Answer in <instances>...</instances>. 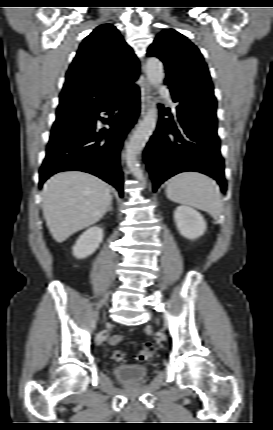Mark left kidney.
Segmentation results:
<instances>
[{
	"instance_id": "1",
	"label": "left kidney",
	"mask_w": 273,
	"mask_h": 430,
	"mask_svg": "<svg viewBox=\"0 0 273 430\" xmlns=\"http://www.w3.org/2000/svg\"><path fill=\"white\" fill-rule=\"evenodd\" d=\"M179 233L190 240L202 236L206 230V221L202 214L189 206H179L174 213Z\"/></svg>"
}]
</instances>
